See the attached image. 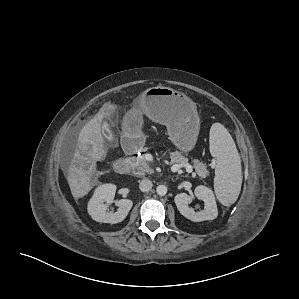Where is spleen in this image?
Instances as JSON below:
<instances>
[{
	"mask_svg": "<svg viewBox=\"0 0 299 299\" xmlns=\"http://www.w3.org/2000/svg\"><path fill=\"white\" fill-rule=\"evenodd\" d=\"M210 153L215 158L214 190L225 206L237 200L242 184L241 160L232 136L220 123L210 129Z\"/></svg>",
	"mask_w": 299,
	"mask_h": 299,
	"instance_id": "obj_1",
	"label": "spleen"
}]
</instances>
